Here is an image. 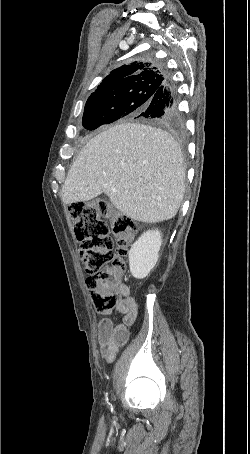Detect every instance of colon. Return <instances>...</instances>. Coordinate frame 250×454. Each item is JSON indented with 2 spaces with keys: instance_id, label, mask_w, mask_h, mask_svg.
Returning a JSON list of instances; mask_svg holds the SVG:
<instances>
[{
  "instance_id": "5ec220e1",
  "label": "colon",
  "mask_w": 250,
  "mask_h": 454,
  "mask_svg": "<svg viewBox=\"0 0 250 454\" xmlns=\"http://www.w3.org/2000/svg\"><path fill=\"white\" fill-rule=\"evenodd\" d=\"M68 212L80 245V258L96 311L113 309L121 293L125 256L134 238L132 219L115 211L104 198L71 203ZM114 240L117 243L113 251Z\"/></svg>"
}]
</instances>
